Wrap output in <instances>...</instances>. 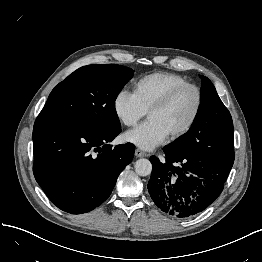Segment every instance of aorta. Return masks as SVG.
<instances>
[{"label": "aorta", "instance_id": "obj_1", "mask_svg": "<svg viewBox=\"0 0 262 262\" xmlns=\"http://www.w3.org/2000/svg\"><path fill=\"white\" fill-rule=\"evenodd\" d=\"M135 172L139 176H148L152 171V164L148 159H139L135 162Z\"/></svg>", "mask_w": 262, "mask_h": 262}]
</instances>
